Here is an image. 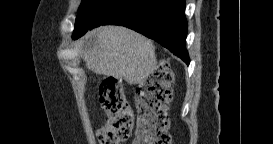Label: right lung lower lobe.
I'll return each instance as SVG.
<instances>
[{"instance_id": "right-lung-lower-lobe-1", "label": "right lung lower lobe", "mask_w": 273, "mask_h": 144, "mask_svg": "<svg viewBox=\"0 0 273 144\" xmlns=\"http://www.w3.org/2000/svg\"><path fill=\"white\" fill-rule=\"evenodd\" d=\"M109 24L131 28L157 41L186 64L190 62L184 0H113L98 13L89 29Z\"/></svg>"}]
</instances>
